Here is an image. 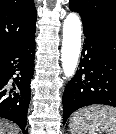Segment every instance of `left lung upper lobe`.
<instances>
[{"label": "left lung upper lobe", "mask_w": 116, "mask_h": 134, "mask_svg": "<svg viewBox=\"0 0 116 134\" xmlns=\"http://www.w3.org/2000/svg\"><path fill=\"white\" fill-rule=\"evenodd\" d=\"M69 7L81 15L83 23L116 28V0H70Z\"/></svg>", "instance_id": "5c2ea615"}]
</instances>
